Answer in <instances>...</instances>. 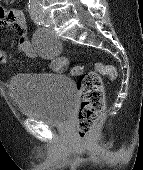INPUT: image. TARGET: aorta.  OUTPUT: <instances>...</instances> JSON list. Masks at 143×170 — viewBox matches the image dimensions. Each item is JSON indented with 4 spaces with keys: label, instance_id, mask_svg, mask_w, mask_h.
<instances>
[{
    "label": "aorta",
    "instance_id": "obj_1",
    "mask_svg": "<svg viewBox=\"0 0 143 170\" xmlns=\"http://www.w3.org/2000/svg\"><path fill=\"white\" fill-rule=\"evenodd\" d=\"M28 9L32 18H43L45 16L40 0H29Z\"/></svg>",
    "mask_w": 143,
    "mask_h": 170
}]
</instances>
